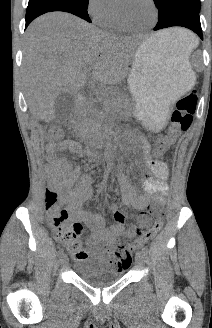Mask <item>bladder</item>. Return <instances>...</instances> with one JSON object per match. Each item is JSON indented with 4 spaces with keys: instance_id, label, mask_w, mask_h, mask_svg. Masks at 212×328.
<instances>
[{
    "instance_id": "obj_1",
    "label": "bladder",
    "mask_w": 212,
    "mask_h": 328,
    "mask_svg": "<svg viewBox=\"0 0 212 328\" xmlns=\"http://www.w3.org/2000/svg\"><path fill=\"white\" fill-rule=\"evenodd\" d=\"M74 272L82 281L96 288L112 285L124 276L122 270L101 271L93 260L77 261Z\"/></svg>"
}]
</instances>
